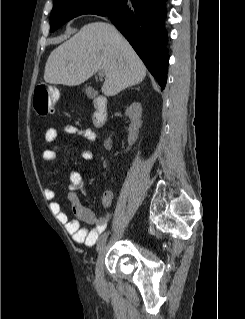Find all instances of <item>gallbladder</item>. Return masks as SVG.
Wrapping results in <instances>:
<instances>
[{"label": "gallbladder", "mask_w": 245, "mask_h": 319, "mask_svg": "<svg viewBox=\"0 0 245 319\" xmlns=\"http://www.w3.org/2000/svg\"><path fill=\"white\" fill-rule=\"evenodd\" d=\"M85 93L88 95V96H95L97 94V92L90 86L86 87L85 88Z\"/></svg>", "instance_id": "bac80fb5"}]
</instances>
